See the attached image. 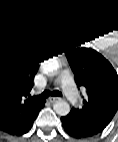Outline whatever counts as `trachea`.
Returning <instances> with one entry per match:
<instances>
[{
	"instance_id": "trachea-1",
	"label": "trachea",
	"mask_w": 118,
	"mask_h": 142,
	"mask_svg": "<svg viewBox=\"0 0 118 142\" xmlns=\"http://www.w3.org/2000/svg\"><path fill=\"white\" fill-rule=\"evenodd\" d=\"M52 95H53V96H58V93L53 92Z\"/></svg>"
}]
</instances>
